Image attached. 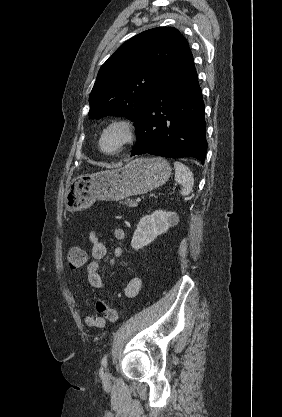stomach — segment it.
<instances>
[{
	"label": "stomach",
	"mask_w": 282,
	"mask_h": 417,
	"mask_svg": "<svg viewBox=\"0 0 282 417\" xmlns=\"http://www.w3.org/2000/svg\"><path fill=\"white\" fill-rule=\"evenodd\" d=\"M170 174L171 166L161 156H142L112 170L83 174L73 180L72 188L66 192V209L85 211L95 200H122L133 194H144L165 184Z\"/></svg>",
	"instance_id": "1"
}]
</instances>
